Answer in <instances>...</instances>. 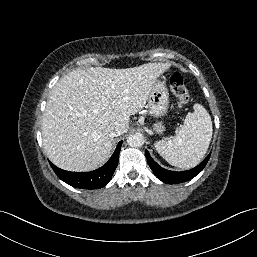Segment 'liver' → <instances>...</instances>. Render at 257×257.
<instances>
[{
	"label": "liver",
	"instance_id": "obj_1",
	"mask_svg": "<svg viewBox=\"0 0 257 257\" xmlns=\"http://www.w3.org/2000/svg\"><path fill=\"white\" fill-rule=\"evenodd\" d=\"M169 68L168 63L91 67L63 76L42 119L43 148L50 161L75 172L103 165L113 148L110 131H128L130 116L145 106L155 81Z\"/></svg>",
	"mask_w": 257,
	"mask_h": 257
}]
</instances>
